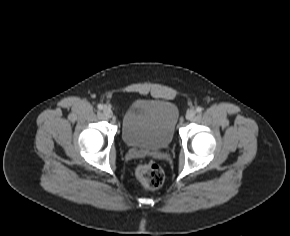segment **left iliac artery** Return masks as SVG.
I'll list each match as a JSON object with an SVG mask.
<instances>
[{"instance_id": "obj_1", "label": "left iliac artery", "mask_w": 290, "mask_h": 236, "mask_svg": "<svg viewBox=\"0 0 290 236\" xmlns=\"http://www.w3.org/2000/svg\"><path fill=\"white\" fill-rule=\"evenodd\" d=\"M202 110H203V108H202V107H197V108H196V111H197L198 113H201V112H202Z\"/></svg>"}]
</instances>
